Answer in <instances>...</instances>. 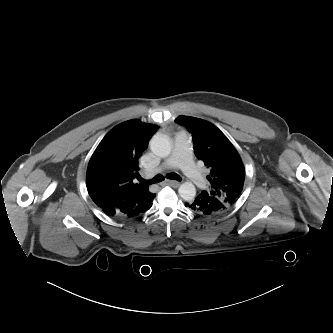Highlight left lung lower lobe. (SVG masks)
I'll return each mask as SVG.
<instances>
[{
	"instance_id": "left-lung-lower-lobe-1",
	"label": "left lung lower lobe",
	"mask_w": 333,
	"mask_h": 333,
	"mask_svg": "<svg viewBox=\"0 0 333 333\" xmlns=\"http://www.w3.org/2000/svg\"><path fill=\"white\" fill-rule=\"evenodd\" d=\"M195 212L204 215H218L223 212L224 205L214 196H210L207 192L200 193L196 198L185 204Z\"/></svg>"
}]
</instances>
